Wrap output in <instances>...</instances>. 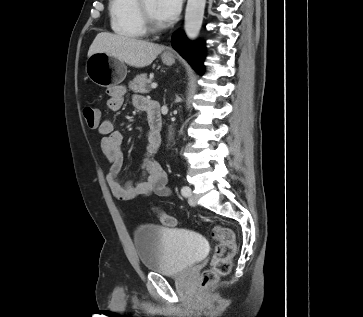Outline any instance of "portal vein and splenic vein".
I'll list each match as a JSON object with an SVG mask.
<instances>
[{
	"instance_id": "obj_1",
	"label": "portal vein and splenic vein",
	"mask_w": 363,
	"mask_h": 317,
	"mask_svg": "<svg viewBox=\"0 0 363 317\" xmlns=\"http://www.w3.org/2000/svg\"><path fill=\"white\" fill-rule=\"evenodd\" d=\"M151 88H152V89H156V88H157V83H152V84H151Z\"/></svg>"
}]
</instances>
